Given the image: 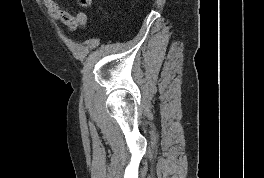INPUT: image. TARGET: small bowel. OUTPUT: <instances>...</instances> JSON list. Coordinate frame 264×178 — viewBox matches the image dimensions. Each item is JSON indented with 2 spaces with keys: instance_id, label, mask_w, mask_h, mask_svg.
<instances>
[{
  "instance_id": "small-bowel-1",
  "label": "small bowel",
  "mask_w": 264,
  "mask_h": 178,
  "mask_svg": "<svg viewBox=\"0 0 264 178\" xmlns=\"http://www.w3.org/2000/svg\"><path fill=\"white\" fill-rule=\"evenodd\" d=\"M42 3L54 20L61 21L71 31H74L79 26H84L87 23V15L84 12H78L73 15L71 12L63 8L60 0H42Z\"/></svg>"
}]
</instances>
